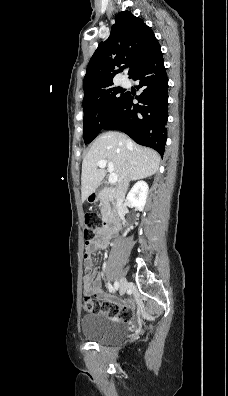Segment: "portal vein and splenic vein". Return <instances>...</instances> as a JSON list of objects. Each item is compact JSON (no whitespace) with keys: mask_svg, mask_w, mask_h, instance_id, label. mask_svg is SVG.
<instances>
[{"mask_svg":"<svg viewBox=\"0 0 228 396\" xmlns=\"http://www.w3.org/2000/svg\"><path fill=\"white\" fill-rule=\"evenodd\" d=\"M97 166L99 168H105L106 166H108V171H109V178L108 181L110 184H115L118 181V175L114 173V165L112 162H109L107 160H100L97 163Z\"/></svg>","mask_w":228,"mask_h":396,"instance_id":"portal-vein-and-splenic-vein-1","label":"portal vein and splenic vein"}]
</instances>
